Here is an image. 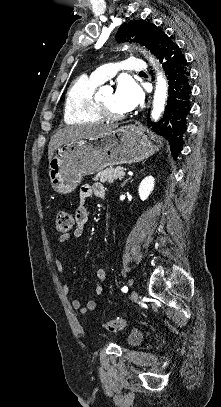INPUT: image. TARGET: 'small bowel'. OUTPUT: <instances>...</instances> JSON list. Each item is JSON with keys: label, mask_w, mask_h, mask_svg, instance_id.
<instances>
[{"label": "small bowel", "mask_w": 221, "mask_h": 407, "mask_svg": "<svg viewBox=\"0 0 221 407\" xmlns=\"http://www.w3.org/2000/svg\"><path fill=\"white\" fill-rule=\"evenodd\" d=\"M94 194L95 197L99 199H104L106 196L105 188L101 184H94L92 186L84 185L81 187L78 195V203L77 208L73 218V229L71 233L61 234L58 237L59 243H67L72 238L80 237L86 227L88 221V200L90 196ZM72 250V249H71ZM74 252V251H73ZM57 269L61 272L62 271V263L60 260L56 261ZM96 278L98 279L99 283H97L94 287V292L97 295H101L104 291V287L102 282H104L107 278V272L104 268H99L95 272ZM64 291L66 294L70 293V289L67 285H64ZM71 306L73 309L79 311L81 314L88 313L96 308V301L89 300L86 304H82V302L74 298L71 301Z\"/></svg>", "instance_id": "small-bowel-1"}]
</instances>
